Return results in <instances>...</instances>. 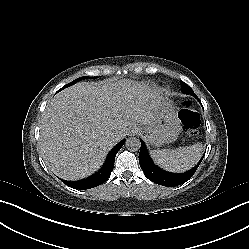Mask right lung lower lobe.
<instances>
[{
	"instance_id": "obj_1",
	"label": "right lung lower lobe",
	"mask_w": 249,
	"mask_h": 249,
	"mask_svg": "<svg viewBox=\"0 0 249 249\" xmlns=\"http://www.w3.org/2000/svg\"><path fill=\"white\" fill-rule=\"evenodd\" d=\"M124 143H125V140H122L118 145H116L112 149V151H110V153L107 157L106 163L100 169V171L97 172L92 177H90L84 181L79 182L78 188L90 189V188L96 187V186L104 183L109 178L111 171L113 170V167H114L115 156H116L117 152L120 150V148L123 146Z\"/></svg>"
}]
</instances>
